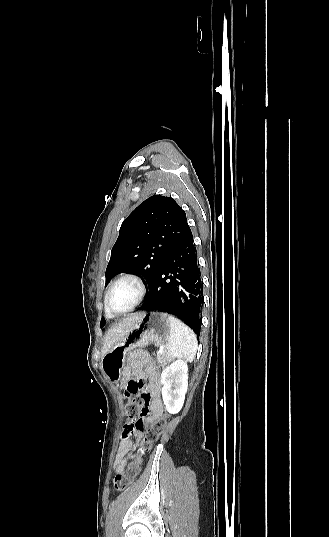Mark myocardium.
Returning <instances> with one entry per match:
<instances>
[{"instance_id": "f54148a6", "label": "myocardium", "mask_w": 329, "mask_h": 537, "mask_svg": "<svg viewBox=\"0 0 329 537\" xmlns=\"http://www.w3.org/2000/svg\"><path fill=\"white\" fill-rule=\"evenodd\" d=\"M126 280L133 281L138 286V288H139V296H138L137 300L135 301V303L129 309H127L126 311H123V312H116L111 308L110 295H111L112 291L114 290V288L119 283H121L123 281H126ZM145 295H146V284L143 281V279L137 274L126 273V274H123L120 277H118L110 285V287L108 288V290H107V292L105 294V307H106L107 311L111 315H115V316L124 315V314H127L128 312H131L132 310H134L143 301Z\"/></svg>"}]
</instances>
